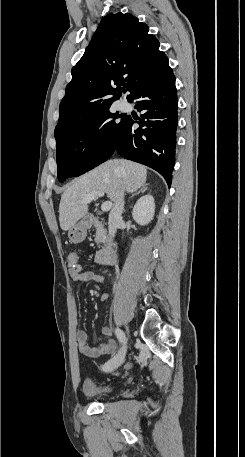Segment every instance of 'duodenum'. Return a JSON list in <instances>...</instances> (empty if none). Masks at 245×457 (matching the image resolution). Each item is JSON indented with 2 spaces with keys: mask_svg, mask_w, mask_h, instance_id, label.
I'll return each mask as SVG.
<instances>
[{
  "mask_svg": "<svg viewBox=\"0 0 245 457\" xmlns=\"http://www.w3.org/2000/svg\"><path fill=\"white\" fill-rule=\"evenodd\" d=\"M118 260L117 248L114 245L99 250L96 254V262L101 265H111Z\"/></svg>",
  "mask_w": 245,
  "mask_h": 457,
  "instance_id": "obj_1",
  "label": "duodenum"
}]
</instances>
